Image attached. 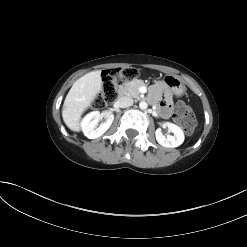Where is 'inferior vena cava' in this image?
I'll return each mask as SVG.
<instances>
[{"label": "inferior vena cava", "mask_w": 247, "mask_h": 247, "mask_svg": "<svg viewBox=\"0 0 247 247\" xmlns=\"http://www.w3.org/2000/svg\"><path fill=\"white\" fill-rule=\"evenodd\" d=\"M117 104L121 108L129 107V106L133 105V98L129 97V96L120 97L117 101Z\"/></svg>", "instance_id": "602c4592"}]
</instances>
